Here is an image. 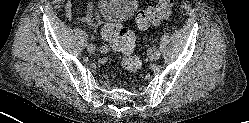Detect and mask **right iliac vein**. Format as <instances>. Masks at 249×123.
<instances>
[{"mask_svg":"<svg viewBox=\"0 0 249 123\" xmlns=\"http://www.w3.org/2000/svg\"><path fill=\"white\" fill-rule=\"evenodd\" d=\"M87 51H88L89 53H94V52H95V46L92 45V44H89V45L87 46Z\"/></svg>","mask_w":249,"mask_h":123,"instance_id":"63e3f726","label":"right iliac vein"}]
</instances>
